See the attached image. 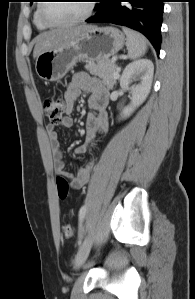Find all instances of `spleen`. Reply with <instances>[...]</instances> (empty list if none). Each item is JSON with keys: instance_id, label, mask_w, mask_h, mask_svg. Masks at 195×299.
<instances>
[{"instance_id": "spleen-1", "label": "spleen", "mask_w": 195, "mask_h": 299, "mask_svg": "<svg viewBox=\"0 0 195 299\" xmlns=\"http://www.w3.org/2000/svg\"><path fill=\"white\" fill-rule=\"evenodd\" d=\"M123 31L127 36L126 46L129 58L133 60L140 58L147 50L146 38L140 33L128 28H123Z\"/></svg>"}]
</instances>
